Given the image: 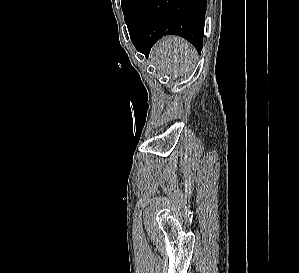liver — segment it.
I'll return each instance as SVG.
<instances>
[{
	"instance_id": "obj_1",
	"label": "liver",
	"mask_w": 299,
	"mask_h": 273,
	"mask_svg": "<svg viewBox=\"0 0 299 273\" xmlns=\"http://www.w3.org/2000/svg\"><path fill=\"white\" fill-rule=\"evenodd\" d=\"M150 55L157 68L173 78L190 73L197 59L195 49L187 41L176 36L158 41Z\"/></svg>"
}]
</instances>
